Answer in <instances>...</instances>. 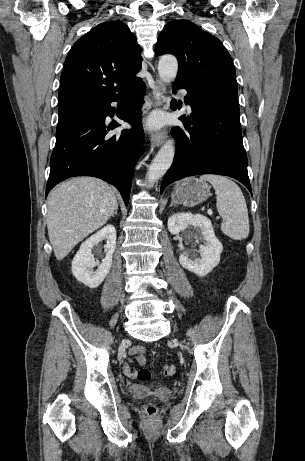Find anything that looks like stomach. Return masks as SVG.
<instances>
[{
  "instance_id": "1",
  "label": "stomach",
  "mask_w": 305,
  "mask_h": 461,
  "mask_svg": "<svg viewBox=\"0 0 305 461\" xmlns=\"http://www.w3.org/2000/svg\"><path fill=\"white\" fill-rule=\"evenodd\" d=\"M210 186L196 178H188L180 183L172 194V201L187 207L196 206L210 195Z\"/></svg>"
}]
</instances>
